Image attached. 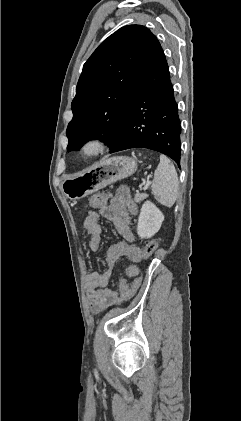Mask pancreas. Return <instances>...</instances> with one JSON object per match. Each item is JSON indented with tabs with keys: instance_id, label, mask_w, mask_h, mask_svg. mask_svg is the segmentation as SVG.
<instances>
[{
	"instance_id": "pancreas-1",
	"label": "pancreas",
	"mask_w": 241,
	"mask_h": 421,
	"mask_svg": "<svg viewBox=\"0 0 241 421\" xmlns=\"http://www.w3.org/2000/svg\"><path fill=\"white\" fill-rule=\"evenodd\" d=\"M147 196L148 195L147 194H144V193H142V194L136 193L135 194V197H134V200H135V202L139 203V202L143 201L144 199H146Z\"/></svg>"
}]
</instances>
